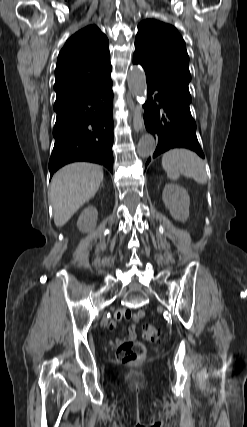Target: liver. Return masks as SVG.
<instances>
[{
	"mask_svg": "<svg viewBox=\"0 0 247 427\" xmlns=\"http://www.w3.org/2000/svg\"><path fill=\"white\" fill-rule=\"evenodd\" d=\"M102 180V167L92 163L76 162L58 170L49 193L55 225H65L96 194Z\"/></svg>",
	"mask_w": 247,
	"mask_h": 427,
	"instance_id": "liver-1",
	"label": "liver"
}]
</instances>
